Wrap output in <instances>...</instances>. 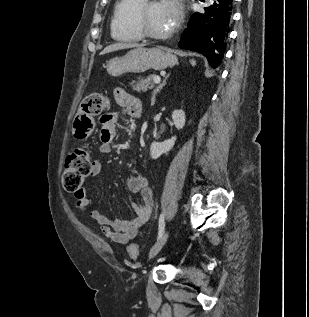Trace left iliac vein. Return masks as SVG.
<instances>
[{"label": "left iliac vein", "mask_w": 309, "mask_h": 317, "mask_svg": "<svg viewBox=\"0 0 309 317\" xmlns=\"http://www.w3.org/2000/svg\"><path fill=\"white\" fill-rule=\"evenodd\" d=\"M169 237V231H166L158 240L157 242L153 245L151 248L148 258L149 260L154 258L158 252L162 249V247L165 245L167 239Z\"/></svg>", "instance_id": "4c4485c4"}]
</instances>
